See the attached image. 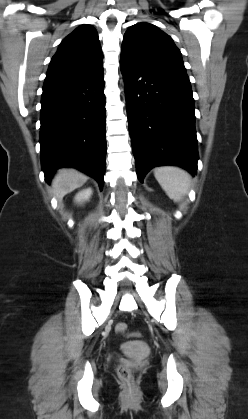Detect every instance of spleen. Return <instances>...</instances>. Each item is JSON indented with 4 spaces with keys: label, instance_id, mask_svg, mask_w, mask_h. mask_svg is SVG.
<instances>
[{
    "label": "spleen",
    "instance_id": "spleen-1",
    "mask_svg": "<svg viewBox=\"0 0 248 419\" xmlns=\"http://www.w3.org/2000/svg\"><path fill=\"white\" fill-rule=\"evenodd\" d=\"M154 176L167 196L174 202H180L190 188V175L178 167L163 166L156 168Z\"/></svg>",
    "mask_w": 248,
    "mask_h": 419
}]
</instances>
